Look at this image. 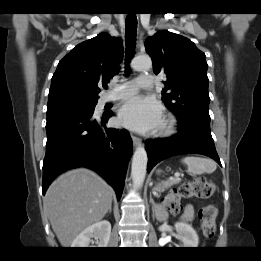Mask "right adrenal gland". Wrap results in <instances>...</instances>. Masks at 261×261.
<instances>
[{
  "mask_svg": "<svg viewBox=\"0 0 261 261\" xmlns=\"http://www.w3.org/2000/svg\"><path fill=\"white\" fill-rule=\"evenodd\" d=\"M111 211H112V208L110 207V208H109V213H111Z\"/></svg>",
  "mask_w": 261,
  "mask_h": 261,
  "instance_id": "obj_1",
  "label": "right adrenal gland"
}]
</instances>
